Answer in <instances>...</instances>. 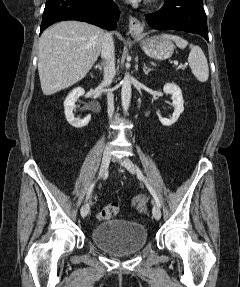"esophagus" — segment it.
I'll use <instances>...</instances> for the list:
<instances>
[{
	"label": "esophagus",
	"mask_w": 240,
	"mask_h": 287,
	"mask_svg": "<svg viewBox=\"0 0 240 287\" xmlns=\"http://www.w3.org/2000/svg\"><path fill=\"white\" fill-rule=\"evenodd\" d=\"M144 30V26L140 20L135 17H130L129 19V31L132 36L140 35Z\"/></svg>",
	"instance_id": "obj_1"
}]
</instances>
